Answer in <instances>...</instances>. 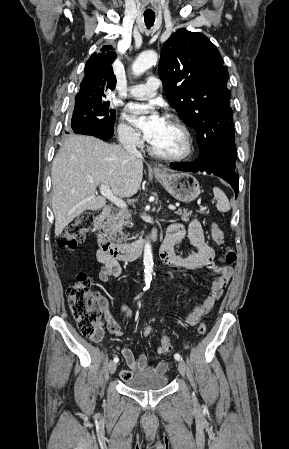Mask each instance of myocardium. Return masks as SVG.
<instances>
[{
	"label": "myocardium",
	"instance_id": "f54148a6",
	"mask_svg": "<svg viewBox=\"0 0 289 449\" xmlns=\"http://www.w3.org/2000/svg\"><path fill=\"white\" fill-rule=\"evenodd\" d=\"M165 120L175 126L183 135L184 137V149L182 152L178 154H163L158 151H156L151 144L148 145V151L153 156L167 161H182L187 158H189L194 150V143H193V137L189 130V128L177 117L172 115H167L165 117Z\"/></svg>",
	"mask_w": 289,
	"mask_h": 449
}]
</instances>
